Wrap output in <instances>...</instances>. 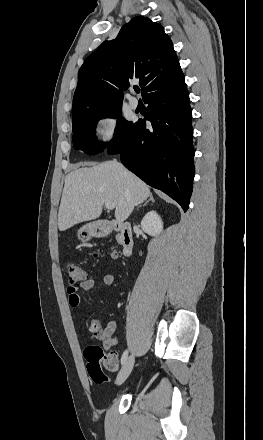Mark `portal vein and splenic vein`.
Here are the masks:
<instances>
[{
    "label": "portal vein and splenic vein",
    "instance_id": "obj_1",
    "mask_svg": "<svg viewBox=\"0 0 263 440\" xmlns=\"http://www.w3.org/2000/svg\"><path fill=\"white\" fill-rule=\"evenodd\" d=\"M105 206L108 210L114 209L115 208V204L112 201H106L105 202Z\"/></svg>",
    "mask_w": 263,
    "mask_h": 440
}]
</instances>
